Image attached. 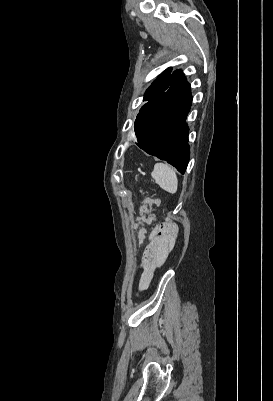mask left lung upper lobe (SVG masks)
Segmentation results:
<instances>
[{
  "mask_svg": "<svg viewBox=\"0 0 273 401\" xmlns=\"http://www.w3.org/2000/svg\"><path fill=\"white\" fill-rule=\"evenodd\" d=\"M171 71L172 68H168L161 75L157 77V79L147 89L145 96L143 98L144 101L152 100L157 95L165 92L169 88L173 76V74L170 73Z\"/></svg>",
  "mask_w": 273,
  "mask_h": 401,
  "instance_id": "left-lung-upper-lobe-1",
  "label": "left lung upper lobe"
}]
</instances>
